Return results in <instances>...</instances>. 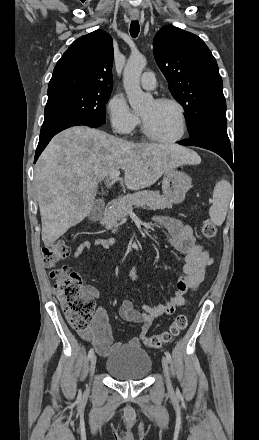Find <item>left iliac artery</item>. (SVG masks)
<instances>
[{
  "instance_id": "obj_1",
  "label": "left iliac artery",
  "mask_w": 259,
  "mask_h": 440,
  "mask_svg": "<svg viewBox=\"0 0 259 440\" xmlns=\"http://www.w3.org/2000/svg\"><path fill=\"white\" fill-rule=\"evenodd\" d=\"M165 355H166L168 362H171V354L169 353V351H166Z\"/></svg>"
}]
</instances>
